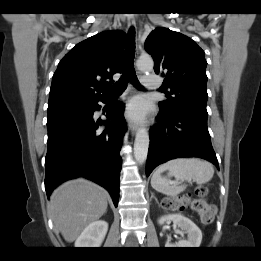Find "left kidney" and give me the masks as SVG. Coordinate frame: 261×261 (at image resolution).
Here are the masks:
<instances>
[{
	"mask_svg": "<svg viewBox=\"0 0 261 261\" xmlns=\"http://www.w3.org/2000/svg\"><path fill=\"white\" fill-rule=\"evenodd\" d=\"M168 221H173L175 225H177L181 231L187 234V239L180 240L176 243H172L170 240H167L165 247L167 248H198L202 241V232L196 226L194 222H192L189 218L181 215V214H170L161 217L158 220L160 225L165 224Z\"/></svg>",
	"mask_w": 261,
	"mask_h": 261,
	"instance_id": "left-kidney-1",
	"label": "left kidney"
}]
</instances>
